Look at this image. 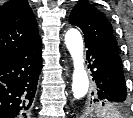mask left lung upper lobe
Returning <instances> with one entry per match:
<instances>
[{"label":"left lung upper lobe","mask_w":133,"mask_h":118,"mask_svg":"<svg viewBox=\"0 0 133 118\" xmlns=\"http://www.w3.org/2000/svg\"><path fill=\"white\" fill-rule=\"evenodd\" d=\"M69 22L83 31L85 40L94 42L108 51L119 54L112 25L106 16L92 4L85 0L78 2L70 14ZM92 95L94 96V104L92 99L90 103H84V116L97 111L102 113L115 112V110H122L126 106V104L98 101L97 97L94 94Z\"/></svg>","instance_id":"left-lung-upper-lobe-1"}]
</instances>
